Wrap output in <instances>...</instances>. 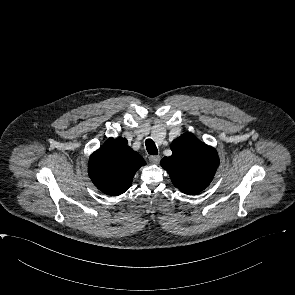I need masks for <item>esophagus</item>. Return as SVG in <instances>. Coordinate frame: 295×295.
<instances>
[{"instance_id": "34e87169", "label": "esophagus", "mask_w": 295, "mask_h": 295, "mask_svg": "<svg viewBox=\"0 0 295 295\" xmlns=\"http://www.w3.org/2000/svg\"><path fill=\"white\" fill-rule=\"evenodd\" d=\"M160 156H158V155H152V156H150L149 157V161L151 162V163H153V164H158L159 163V161H160Z\"/></svg>"}]
</instances>
